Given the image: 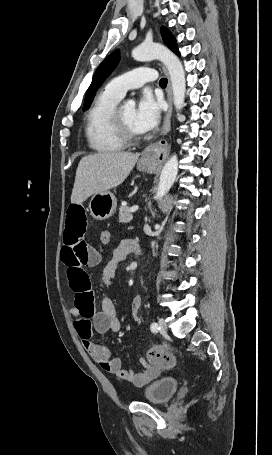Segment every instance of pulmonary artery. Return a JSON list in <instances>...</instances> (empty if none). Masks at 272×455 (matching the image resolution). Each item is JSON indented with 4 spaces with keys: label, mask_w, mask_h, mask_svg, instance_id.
Instances as JSON below:
<instances>
[{
    "label": "pulmonary artery",
    "mask_w": 272,
    "mask_h": 455,
    "mask_svg": "<svg viewBox=\"0 0 272 455\" xmlns=\"http://www.w3.org/2000/svg\"><path fill=\"white\" fill-rule=\"evenodd\" d=\"M157 78L155 70L148 67H138L130 70L109 82L107 88L122 98L130 89H136L147 82H153Z\"/></svg>",
    "instance_id": "obj_1"
}]
</instances>
